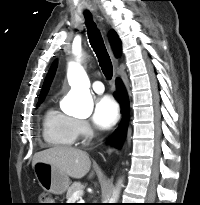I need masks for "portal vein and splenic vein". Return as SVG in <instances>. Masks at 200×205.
I'll return each mask as SVG.
<instances>
[{"mask_svg": "<svg viewBox=\"0 0 200 205\" xmlns=\"http://www.w3.org/2000/svg\"><path fill=\"white\" fill-rule=\"evenodd\" d=\"M83 195V191H76L73 193L72 198L70 199V201H76L78 199H81Z\"/></svg>", "mask_w": 200, "mask_h": 205, "instance_id": "1", "label": "portal vein and splenic vein"}]
</instances>
